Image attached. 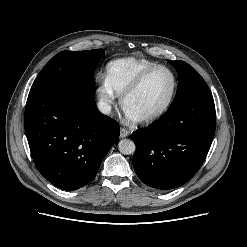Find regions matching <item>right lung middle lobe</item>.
I'll return each mask as SVG.
<instances>
[{"label":"right lung middle lobe","instance_id":"1","mask_svg":"<svg viewBox=\"0 0 247 247\" xmlns=\"http://www.w3.org/2000/svg\"><path fill=\"white\" fill-rule=\"evenodd\" d=\"M103 55L104 51L97 49L59 52L39 73L29 96L62 91L93 94L95 67Z\"/></svg>","mask_w":247,"mask_h":247}]
</instances>
